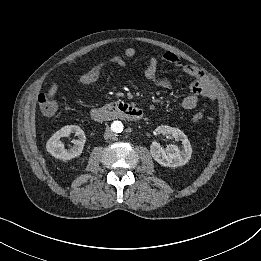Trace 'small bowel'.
<instances>
[{"label":"small bowel","mask_w":261,"mask_h":261,"mask_svg":"<svg viewBox=\"0 0 261 261\" xmlns=\"http://www.w3.org/2000/svg\"><path fill=\"white\" fill-rule=\"evenodd\" d=\"M136 55V50L133 47H128L124 51L125 58H132ZM161 58L169 63H172L176 66H182L183 71L193 77L194 79L198 78L203 71L194 65H183L181 59L173 53L166 52L161 56ZM110 63L117 64L120 66L126 65V61L122 56H114ZM160 63V57L157 55H152L149 57L147 65L144 70L145 77L151 81L154 85L166 88L173 89L175 88V82L171 78L161 77L158 74V67ZM106 67V63L97 65L96 67L89 70L87 73L81 76L80 81L82 84H91L96 81ZM193 82V81H192ZM200 96L213 97L214 91L212 88H209L203 93H190L182 100V107L184 109L190 110L195 108L198 105Z\"/></svg>","instance_id":"obj_1"}]
</instances>
